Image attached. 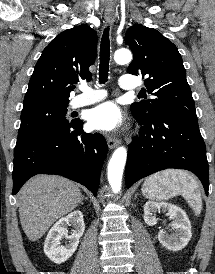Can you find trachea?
I'll use <instances>...</instances> for the list:
<instances>
[{
	"instance_id": "obj_1",
	"label": "trachea",
	"mask_w": 215,
	"mask_h": 274,
	"mask_svg": "<svg viewBox=\"0 0 215 274\" xmlns=\"http://www.w3.org/2000/svg\"><path fill=\"white\" fill-rule=\"evenodd\" d=\"M110 60L109 27L105 28L100 45L99 82L105 83L108 79Z\"/></svg>"
}]
</instances>
